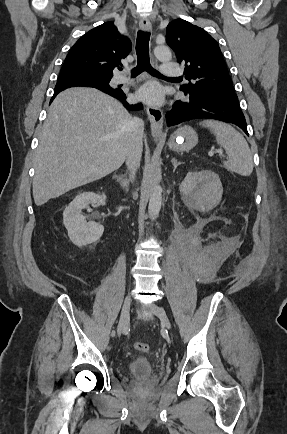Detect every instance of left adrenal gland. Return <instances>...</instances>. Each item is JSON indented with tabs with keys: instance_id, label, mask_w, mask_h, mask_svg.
<instances>
[{
	"instance_id": "1",
	"label": "left adrenal gland",
	"mask_w": 287,
	"mask_h": 434,
	"mask_svg": "<svg viewBox=\"0 0 287 434\" xmlns=\"http://www.w3.org/2000/svg\"><path fill=\"white\" fill-rule=\"evenodd\" d=\"M171 162L173 164L174 170L178 167V165L181 164V162H178L177 159H175V158H172Z\"/></svg>"
}]
</instances>
